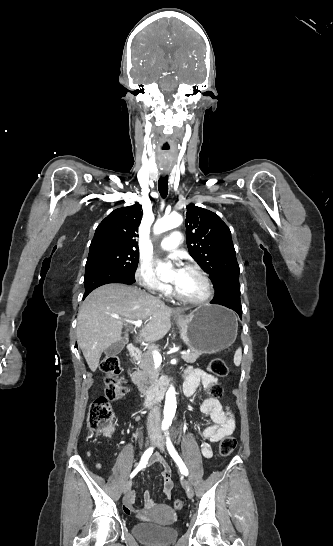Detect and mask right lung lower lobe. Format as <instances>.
Here are the masks:
<instances>
[{
  "label": "right lung lower lobe",
  "instance_id": "right-lung-lower-lobe-1",
  "mask_svg": "<svg viewBox=\"0 0 333 546\" xmlns=\"http://www.w3.org/2000/svg\"><path fill=\"white\" fill-rule=\"evenodd\" d=\"M135 282L134 275L103 265H94L85 268L83 299L95 288L109 283L132 284Z\"/></svg>",
  "mask_w": 333,
  "mask_h": 546
}]
</instances>
